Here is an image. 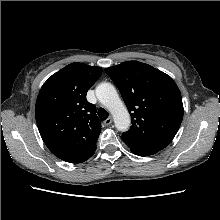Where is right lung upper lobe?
<instances>
[{
    "label": "right lung upper lobe",
    "mask_w": 220,
    "mask_h": 220,
    "mask_svg": "<svg viewBox=\"0 0 220 220\" xmlns=\"http://www.w3.org/2000/svg\"><path fill=\"white\" fill-rule=\"evenodd\" d=\"M101 73L100 67L72 63L49 77L39 92L35 115L40 135L66 162H84L96 150L101 121L86 94Z\"/></svg>",
    "instance_id": "obj_1"
}]
</instances>
